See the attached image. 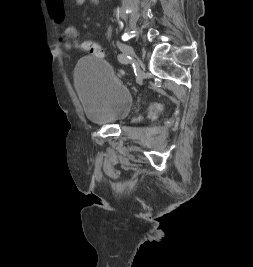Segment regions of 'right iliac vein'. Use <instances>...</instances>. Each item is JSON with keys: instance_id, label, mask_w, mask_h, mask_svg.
<instances>
[{"instance_id": "1", "label": "right iliac vein", "mask_w": 253, "mask_h": 267, "mask_svg": "<svg viewBox=\"0 0 253 267\" xmlns=\"http://www.w3.org/2000/svg\"><path fill=\"white\" fill-rule=\"evenodd\" d=\"M117 47L123 54L131 57L132 59L136 60L140 64V61L137 59V56L135 54V51L130 45L117 42Z\"/></svg>"}]
</instances>
